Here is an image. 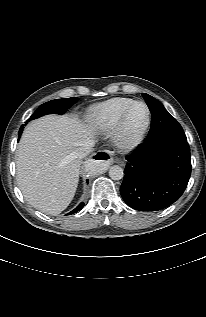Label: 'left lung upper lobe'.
I'll list each match as a JSON object with an SVG mask.
<instances>
[{
  "label": "left lung upper lobe",
  "mask_w": 206,
  "mask_h": 317,
  "mask_svg": "<svg viewBox=\"0 0 206 317\" xmlns=\"http://www.w3.org/2000/svg\"><path fill=\"white\" fill-rule=\"evenodd\" d=\"M142 96L152 113L151 128L146 140L167 136L186 137L181 125L167 112L161 102L146 93H142Z\"/></svg>",
  "instance_id": "obj_1"
}]
</instances>
